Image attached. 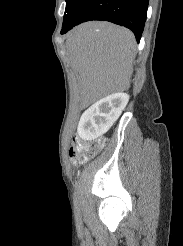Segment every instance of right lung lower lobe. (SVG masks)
I'll return each mask as SVG.
<instances>
[{"instance_id": "98d812e1", "label": "right lung lower lobe", "mask_w": 183, "mask_h": 246, "mask_svg": "<svg viewBox=\"0 0 183 246\" xmlns=\"http://www.w3.org/2000/svg\"><path fill=\"white\" fill-rule=\"evenodd\" d=\"M149 0H80L68 19L63 22L61 33L90 20H104L132 30L140 41L147 18Z\"/></svg>"}]
</instances>
